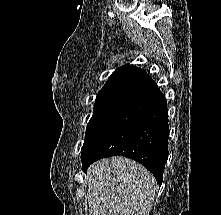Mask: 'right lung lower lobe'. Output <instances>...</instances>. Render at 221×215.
<instances>
[{
	"label": "right lung lower lobe",
	"mask_w": 221,
	"mask_h": 215,
	"mask_svg": "<svg viewBox=\"0 0 221 215\" xmlns=\"http://www.w3.org/2000/svg\"><path fill=\"white\" fill-rule=\"evenodd\" d=\"M168 132L166 99L155 86L131 101L92 152L82 157V169L101 158L122 155L145 166L161 185Z\"/></svg>",
	"instance_id": "98d812e1"
}]
</instances>
